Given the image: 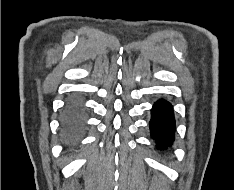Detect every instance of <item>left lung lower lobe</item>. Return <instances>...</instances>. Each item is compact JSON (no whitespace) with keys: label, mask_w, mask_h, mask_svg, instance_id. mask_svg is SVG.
<instances>
[{"label":"left lung lower lobe","mask_w":234,"mask_h":190,"mask_svg":"<svg viewBox=\"0 0 234 190\" xmlns=\"http://www.w3.org/2000/svg\"><path fill=\"white\" fill-rule=\"evenodd\" d=\"M150 133L159 150H166L175 139V118L172 105L164 100L154 103L151 110Z\"/></svg>","instance_id":"1"}]
</instances>
